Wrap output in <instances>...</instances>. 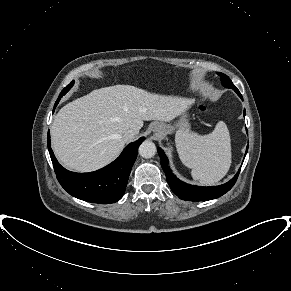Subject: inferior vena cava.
Instances as JSON below:
<instances>
[{
	"label": "inferior vena cava",
	"instance_id": "1",
	"mask_svg": "<svg viewBox=\"0 0 291 291\" xmlns=\"http://www.w3.org/2000/svg\"><path fill=\"white\" fill-rule=\"evenodd\" d=\"M138 132L133 130V129H129L127 131H125L122 135V138L125 140V141H128V140H131L132 138L135 137V135H137Z\"/></svg>",
	"mask_w": 291,
	"mask_h": 291
}]
</instances>
